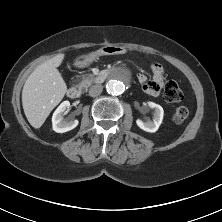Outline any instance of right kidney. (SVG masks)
Segmentation results:
<instances>
[{
	"mask_svg": "<svg viewBox=\"0 0 222 222\" xmlns=\"http://www.w3.org/2000/svg\"><path fill=\"white\" fill-rule=\"evenodd\" d=\"M70 107L69 101H64L55 110L52 116V127L57 133H64L74 129L78 125V120H73L71 118L64 119V113L67 108Z\"/></svg>",
	"mask_w": 222,
	"mask_h": 222,
	"instance_id": "right-kidney-1",
	"label": "right kidney"
}]
</instances>
